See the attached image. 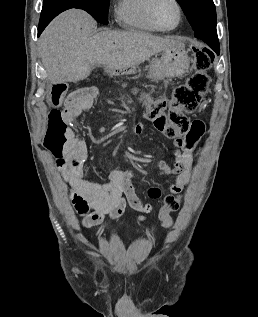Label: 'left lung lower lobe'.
Listing matches in <instances>:
<instances>
[{"mask_svg": "<svg viewBox=\"0 0 258 317\" xmlns=\"http://www.w3.org/2000/svg\"><path fill=\"white\" fill-rule=\"evenodd\" d=\"M194 36L203 40L218 55L220 52L216 28H200L194 31Z\"/></svg>", "mask_w": 258, "mask_h": 317, "instance_id": "left-lung-lower-lobe-1", "label": "left lung lower lobe"}]
</instances>
